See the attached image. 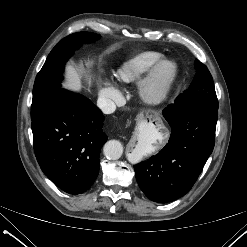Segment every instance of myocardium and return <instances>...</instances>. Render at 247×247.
Wrapping results in <instances>:
<instances>
[{"label":"myocardium","mask_w":247,"mask_h":247,"mask_svg":"<svg viewBox=\"0 0 247 247\" xmlns=\"http://www.w3.org/2000/svg\"><path fill=\"white\" fill-rule=\"evenodd\" d=\"M178 72L176 63L168 58H161L147 72L139 83L142 100L150 105L163 102L169 95Z\"/></svg>","instance_id":"myocardium-1"}]
</instances>
